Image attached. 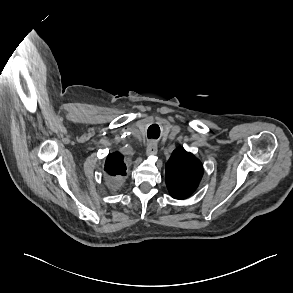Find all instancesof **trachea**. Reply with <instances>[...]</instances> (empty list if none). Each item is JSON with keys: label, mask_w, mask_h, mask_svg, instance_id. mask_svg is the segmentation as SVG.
I'll return each instance as SVG.
<instances>
[{"label": "trachea", "mask_w": 293, "mask_h": 293, "mask_svg": "<svg viewBox=\"0 0 293 293\" xmlns=\"http://www.w3.org/2000/svg\"><path fill=\"white\" fill-rule=\"evenodd\" d=\"M159 135H160V129L157 125H151L148 128V131H147L148 138L157 139L159 137Z\"/></svg>", "instance_id": "obj_1"}]
</instances>
